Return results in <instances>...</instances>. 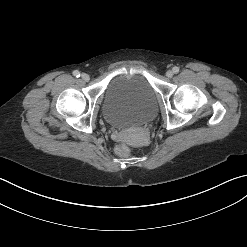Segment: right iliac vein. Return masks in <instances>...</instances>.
Instances as JSON below:
<instances>
[{
    "instance_id": "right-iliac-vein-1",
    "label": "right iliac vein",
    "mask_w": 247,
    "mask_h": 247,
    "mask_svg": "<svg viewBox=\"0 0 247 247\" xmlns=\"http://www.w3.org/2000/svg\"><path fill=\"white\" fill-rule=\"evenodd\" d=\"M81 78L84 80V81H89V79H90V77H89V75L88 74H86V73H83L82 75H81Z\"/></svg>"
}]
</instances>
